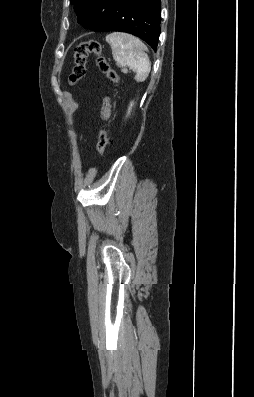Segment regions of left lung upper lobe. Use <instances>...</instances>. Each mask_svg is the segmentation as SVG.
Wrapping results in <instances>:
<instances>
[{
  "mask_svg": "<svg viewBox=\"0 0 254 397\" xmlns=\"http://www.w3.org/2000/svg\"><path fill=\"white\" fill-rule=\"evenodd\" d=\"M107 0H70L75 4V12L80 23L86 29H94L102 20Z\"/></svg>",
  "mask_w": 254,
  "mask_h": 397,
  "instance_id": "obj_1",
  "label": "left lung upper lobe"
}]
</instances>
